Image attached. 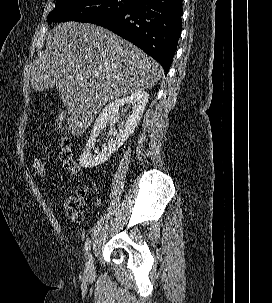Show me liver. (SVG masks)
I'll return each instance as SVG.
<instances>
[{
    "instance_id": "obj_1",
    "label": "liver",
    "mask_w": 272,
    "mask_h": 303,
    "mask_svg": "<svg viewBox=\"0 0 272 303\" xmlns=\"http://www.w3.org/2000/svg\"><path fill=\"white\" fill-rule=\"evenodd\" d=\"M162 74L158 62L108 29L66 22L47 34L45 53L31 69V85L37 91L58 89L68 128L79 137L107 102L152 88Z\"/></svg>"
}]
</instances>
